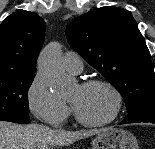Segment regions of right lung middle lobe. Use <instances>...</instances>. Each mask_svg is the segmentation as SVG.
Listing matches in <instances>:
<instances>
[{
	"label": "right lung middle lobe",
	"instance_id": "right-lung-middle-lobe-1",
	"mask_svg": "<svg viewBox=\"0 0 155 149\" xmlns=\"http://www.w3.org/2000/svg\"><path fill=\"white\" fill-rule=\"evenodd\" d=\"M35 72L0 74V120L30 123L27 92Z\"/></svg>",
	"mask_w": 155,
	"mask_h": 149
}]
</instances>
